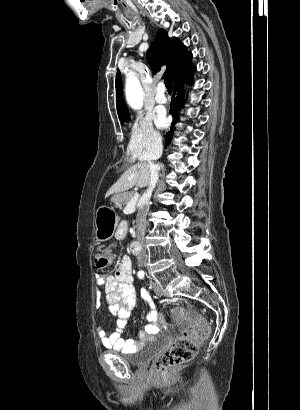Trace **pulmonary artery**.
<instances>
[{
  "label": "pulmonary artery",
  "mask_w": 300,
  "mask_h": 410,
  "mask_svg": "<svg viewBox=\"0 0 300 410\" xmlns=\"http://www.w3.org/2000/svg\"><path fill=\"white\" fill-rule=\"evenodd\" d=\"M168 100L165 86L163 83H159L156 88V101L160 104L166 103Z\"/></svg>",
  "instance_id": "pulmonary-artery-1"
}]
</instances>
